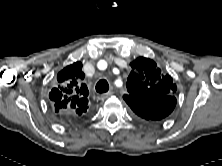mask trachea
<instances>
[{
  "instance_id": "trachea-1",
  "label": "trachea",
  "mask_w": 222,
  "mask_h": 166,
  "mask_svg": "<svg viewBox=\"0 0 222 166\" xmlns=\"http://www.w3.org/2000/svg\"><path fill=\"white\" fill-rule=\"evenodd\" d=\"M109 90V84L105 79H101L96 84V91L98 93H105Z\"/></svg>"
}]
</instances>
